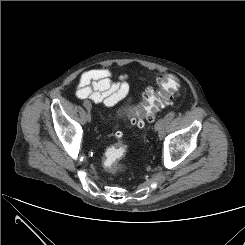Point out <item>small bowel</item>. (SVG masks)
I'll list each match as a JSON object with an SVG mask.
<instances>
[{"instance_id": "obj_1", "label": "small bowel", "mask_w": 245, "mask_h": 245, "mask_svg": "<svg viewBox=\"0 0 245 245\" xmlns=\"http://www.w3.org/2000/svg\"><path fill=\"white\" fill-rule=\"evenodd\" d=\"M130 88L125 76H122L119 81H112L110 70L98 68L81 75L76 96L79 99H88L94 103L112 107L128 95Z\"/></svg>"}]
</instances>
